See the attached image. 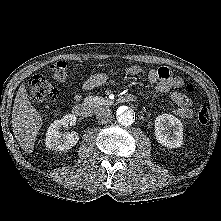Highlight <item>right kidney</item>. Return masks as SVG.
Returning <instances> with one entry per match:
<instances>
[{
  "mask_svg": "<svg viewBox=\"0 0 221 221\" xmlns=\"http://www.w3.org/2000/svg\"><path fill=\"white\" fill-rule=\"evenodd\" d=\"M77 117L73 114L65 115L59 120L50 124L46 133V147L52 150H68L75 146L79 140L78 133L75 131L63 133L62 127L76 125Z\"/></svg>",
  "mask_w": 221,
  "mask_h": 221,
  "instance_id": "ca27d5eb",
  "label": "right kidney"
}]
</instances>
